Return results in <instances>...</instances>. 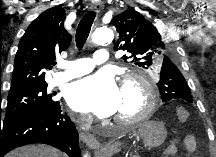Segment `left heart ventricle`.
Returning <instances> with one entry per match:
<instances>
[{
    "instance_id": "obj_1",
    "label": "left heart ventricle",
    "mask_w": 216,
    "mask_h": 157,
    "mask_svg": "<svg viewBox=\"0 0 216 157\" xmlns=\"http://www.w3.org/2000/svg\"><path fill=\"white\" fill-rule=\"evenodd\" d=\"M144 107L143 91L136 85H128L121 88V100L114 117L130 118L134 117Z\"/></svg>"
}]
</instances>
